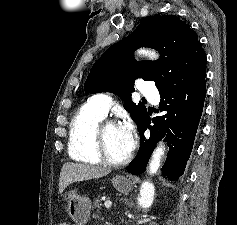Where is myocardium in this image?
Masks as SVG:
<instances>
[{
  "mask_svg": "<svg viewBox=\"0 0 237 225\" xmlns=\"http://www.w3.org/2000/svg\"><path fill=\"white\" fill-rule=\"evenodd\" d=\"M111 126H118V125L115 121H112V120H102L97 124V126L94 129L95 149L100 159V162H103L104 164L112 166V167H120L129 162L131 158V154H128L126 158L119 161L112 160L108 156L105 149L104 135H105L106 129Z\"/></svg>",
  "mask_w": 237,
  "mask_h": 225,
  "instance_id": "f54148a6",
  "label": "myocardium"
}]
</instances>
